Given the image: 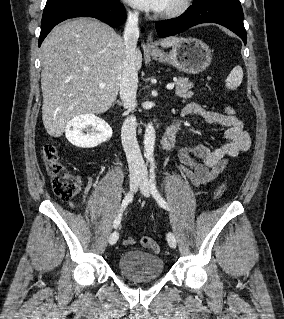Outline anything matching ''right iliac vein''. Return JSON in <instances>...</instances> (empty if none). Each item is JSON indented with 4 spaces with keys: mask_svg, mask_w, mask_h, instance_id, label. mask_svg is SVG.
Instances as JSON below:
<instances>
[{
    "mask_svg": "<svg viewBox=\"0 0 284 319\" xmlns=\"http://www.w3.org/2000/svg\"><path fill=\"white\" fill-rule=\"evenodd\" d=\"M139 179H140V174L138 171H133L130 174V190L132 192H135L138 188V183H139ZM119 239V233L118 231H114L111 233L110 237H109V243L110 245H114Z\"/></svg>",
    "mask_w": 284,
    "mask_h": 319,
    "instance_id": "obj_1",
    "label": "right iliac vein"
}]
</instances>
